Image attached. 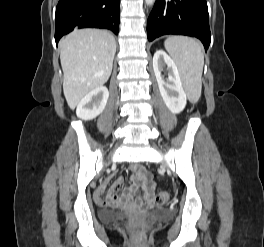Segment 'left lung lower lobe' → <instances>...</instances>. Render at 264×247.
I'll use <instances>...</instances> for the list:
<instances>
[{
  "instance_id": "obj_1",
  "label": "left lung lower lobe",
  "mask_w": 264,
  "mask_h": 247,
  "mask_svg": "<svg viewBox=\"0 0 264 247\" xmlns=\"http://www.w3.org/2000/svg\"><path fill=\"white\" fill-rule=\"evenodd\" d=\"M187 35L202 41L207 50L211 40L206 0H156L147 22V36Z\"/></svg>"
}]
</instances>
